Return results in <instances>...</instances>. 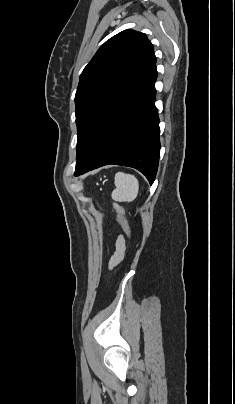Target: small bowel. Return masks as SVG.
Returning <instances> with one entry per match:
<instances>
[{
	"instance_id": "obj_1",
	"label": "small bowel",
	"mask_w": 235,
	"mask_h": 404,
	"mask_svg": "<svg viewBox=\"0 0 235 404\" xmlns=\"http://www.w3.org/2000/svg\"><path fill=\"white\" fill-rule=\"evenodd\" d=\"M125 252V242L122 237L117 238L115 243V251L109 260V267L113 268L116 266L124 257Z\"/></svg>"
}]
</instances>
